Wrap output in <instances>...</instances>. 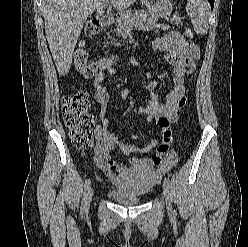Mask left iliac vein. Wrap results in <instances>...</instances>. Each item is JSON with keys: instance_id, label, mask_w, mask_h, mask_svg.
<instances>
[{"instance_id": "left-iliac-vein-1", "label": "left iliac vein", "mask_w": 248, "mask_h": 247, "mask_svg": "<svg viewBox=\"0 0 248 247\" xmlns=\"http://www.w3.org/2000/svg\"><path fill=\"white\" fill-rule=\"evenodd\" d=\"M163 194L165 201L167 203V209L171 213L172 206H171V186L168 180H165L163 183Z\"/></svg>"}]
</instances>
